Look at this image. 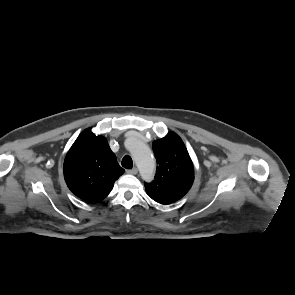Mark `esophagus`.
Returning <instances> with one entry per match:
<instances>
[{
	"mask_svg": "<svg viewBox=\"0 0 295 295\" xmlns=\"http://www.w3.org/2000/svg\"><path fill=\"white\" fill-rule=\"evenodd\" d=\"M137 172H138L137 168L127 170V173L131 174V175H135V174H137Z\"/></svg>",
	"mask_w": 295,
	"mask_h": 295,
	"instance_id": "obj_1",
	"label": "esophagus"
}]
</instances>
